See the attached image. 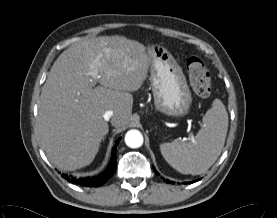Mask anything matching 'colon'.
Returning a JSON list of instances; mask_svg holds the SVG:
<instances>
[{"mask_svg": "<svg viewBox=\"0 0 277 218\" xmlns=\"http://www.w3.org/2000/svg\"><path fill=\"white\" fill-rule=\"evenodd\" d=\"M186 67L193 92L200 98H208L212 83L205 62L200 57L192 56L187 60Z\"/></svg>", "mask_w": 277, "mask_h": 218, "instance_id": "1", "label": "colon"}]
</instances>
